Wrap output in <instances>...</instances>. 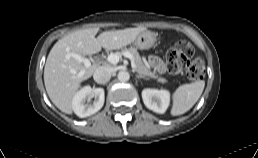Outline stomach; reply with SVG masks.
<instances>
[{
	"label": "stomach",
	"instance_id": "obj_1",
	"mask_svg": "<svg viewBox=\"0 0 258 158\" xmlns=\"http://www.w3.org/2000/svg\"><path fill=\"white\" fill-rule=\"evenodd\" d=\"M156 41V36L149 30L142 31L133 41L134 45L141 50L150 49Z\"/></svg>",
	"mask_w": 258,
	"mask_h": 158
}]
</instances>
